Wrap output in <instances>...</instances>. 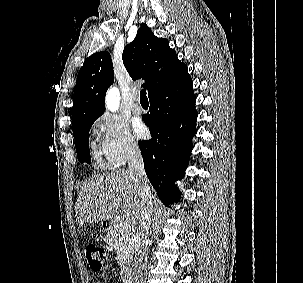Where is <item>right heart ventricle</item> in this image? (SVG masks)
<instances>
[{
  "label": "right heart ventricle",
  "instance_id": "e07e8e85",
  "mask_svg": "<svg viewBox=\"0 0 303 283\" xmlns=\"http://www.w3.org/2000/svg\"><path fill=\"white\" fill-rule=\"evenodd\" d=\"M94 156H95V158H96V160H97V163H98L100 166H102L103 163H102L100 157L98 156V154H97V152H96L95 150H94Z\"/></svg>",
  "mask_w": 303,
  "mask_h": 283
}]
</instances>
